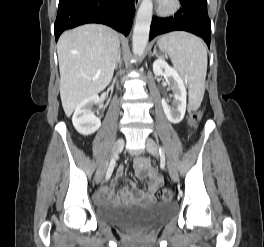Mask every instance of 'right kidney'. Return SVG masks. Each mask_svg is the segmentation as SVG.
Segmentation results:
<instances>
[{"label": "right kidney", "mask_w": 264, "mask_h": 247, "mask_svg": "<svg viewBox=\"0 0 264 247\" xmlns=\"http://www.w3.org/2000/svg\"><path fill=\"white\" fill-rule=\"evenodd\" d=\"M97 102H99V96L93 95L80 102L75 108L72 123L75 129L82 135H90L101 126L100 119L91 110L92 106Z\"/></svg>", "instance_id": "right-kidney-1"}]
</instances>
